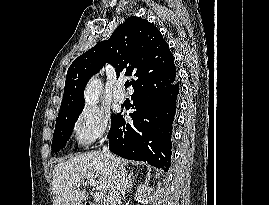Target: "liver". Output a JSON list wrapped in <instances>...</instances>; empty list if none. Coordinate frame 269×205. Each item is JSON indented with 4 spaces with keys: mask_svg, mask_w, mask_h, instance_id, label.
Masks as SVG:
<instances>
[{
    "mask_svg": "<svg viewBox=\"0 0 269 205\" xmlns=\"http://www.w3.org/2000/svg\"><path fill=\"white\" fill-rule=\"evenodd\" d=\"M118 159L124 167L127 165V161ZM112 176L109 160L100 151H90L59 162L54 167L52 178L56 195L54 205H82L88 197V191L80 189V185L88 179L96 180L97 189L106 198L112 183Z\"/></svg>",
    "mask_w": 269,
    "mask_h": 205,
    "instance_id": "obj_1",
    "label": "liver"
}]
</instances>
